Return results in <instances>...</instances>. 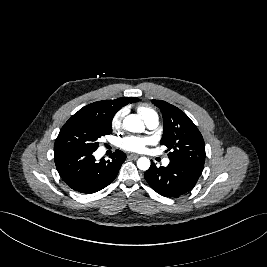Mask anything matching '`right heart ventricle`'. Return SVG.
<instances>
[{
	"instance_id": "right-heart-ventricle-1",
	"label": "right heart ventricle",
	"mask_w": 267,
	"mask_h": 267,
	"mask_svg": "<svg viewBox=\"0 0 267 267\" xmlns=\"http://www.w3.org/2000/svg\"><path fill=\"white\" fill-rule=\"evenodd\" d=\"M138 112L145 121L150 117L157 116L155 110L146 105L140 106Z\"/></svg>"
}]
</instances>
